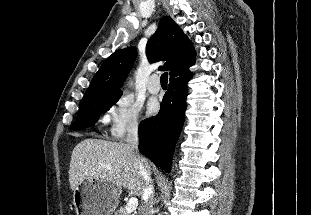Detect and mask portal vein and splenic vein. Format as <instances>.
I'll list each match as a JSON object with an SVG mask.
<instances>
[{
  "mask_svg": "<svg viewBox=\"0 0 311 215\" xmlns=\"http://www.w3.org/2000/svg\"><path fill=\"white\" fill-rule=\"evenodd\" d=\"M138 207V199L135 197H131L125 206V210L128 213L135 211Z\"/></svg>",
  "mask_w": 311,
  "mask_h": 215,
  "instance_id": "obj_1",
  "label": "portal vein and splenic vein"
}]
</instances>
